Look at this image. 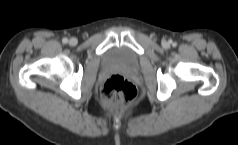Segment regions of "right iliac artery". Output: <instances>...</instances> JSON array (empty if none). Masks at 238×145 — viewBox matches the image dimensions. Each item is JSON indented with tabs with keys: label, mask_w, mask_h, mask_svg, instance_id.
<instances>
[{
	"label": "right iliac artery",
	"mask_w": 238,
	"mask_h": 145,
	"mask_svg": "<svg viewBox=\"0 0 238 145\" xmlns=\"http://www.w3.org/2000/svg\"><path fill=\"white\" fill-rule=\"evenodd\" d=\"M62 42H63L64 44H66V43L68 42V39H67V38H63V39H62Z\"/></svg>",
	"instance_id": "right-iliac-artery-1"
}]
</instances>
